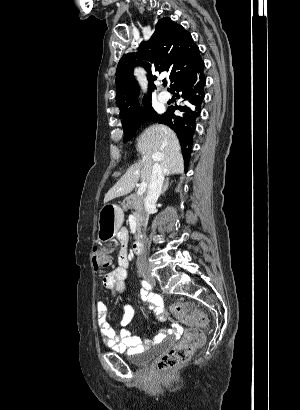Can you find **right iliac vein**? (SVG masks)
<instances>
[{
    "mask_svg": "<svg viewBox=\"0 0 300 410\" xmlns=\"http://www.w3.org/2000/svg\"><path fill=\"white\" fill-rule=\"evenodd\" d=\"M143 276H144L145 279H147L150 282L154 281V278L151 275L147 274V273H143Z\"/></svg>",
    "mask_w": 300,
    "mask_h": 410,
    "instance_id": "63e3f726",
    "label": "right iliac vein"
}]
</instances>
